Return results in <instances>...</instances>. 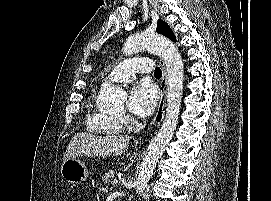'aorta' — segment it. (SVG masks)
<instances>
[{
	"label": "aorta",
	"instance_id": "762f6f07",
	"mask_svg": "<svg viewBox=\"0 0 271 201\" xmlns=\"http://www.w3.org/2000/svg\"><path fill=\"white\" fill-rule=\"evenodd\" d=\"M142 50L156 53L164 60L167 70V109L164 122L150 142L140 167L136 181L137 194L144 192L159 158L173 137L181 108L184 82L182 57L173 42L156 33L143 32L128 37L123 46L125 55H132ZM126 96V92L121 89L104 87L97 97V107L107 109L122 105Z\"/></svg>",
	"mask_w": 271,
	"mask_h": 201
}]
</instances>
